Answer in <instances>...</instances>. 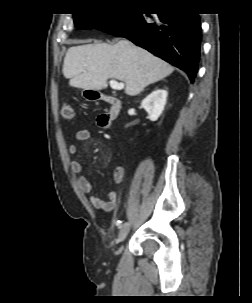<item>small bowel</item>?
Returning a JSON list of instances; mask_svg holds the SVG:
<instances>
[{
    "label": "small bowel",
    "instance_id": "small-bowel-1",
    "mask_svg": "<svg viewBox=\"0 0 252 303\" xmlns=\"http://www.w3.org/2000/svg\"><path fill=\"white\" fill-rule=\"evenodd\" d=\"M101 127H105L106 123H99ZM91 138V131L89 129H81L76 132L75 139L78 142H85ZM68 153L70 157H74L78 153V147L76 144H71L68 148ZM70 170L76 175L77 183L80 190L83 193L89 194L90 203L97 209H100L105 212L113 211L119 203V192L117 190H112L109 192L108 200L102 199L100 196L93 192V186L91 182L82 175V166L76 160L70 161ZM124 174V167L119 166L114 172V181L116 184H120Z\"/></svg>",
    "mask_w": 252,
    "mask_h": 303
}]
</instances>
